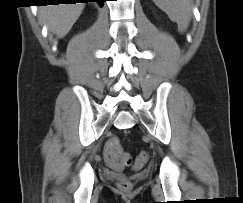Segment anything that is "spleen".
Segmentation results:
<instances>
[{
  "instance_id": "spleen-1",
  "label": "spleen",
  "mask_w": 243,
  "mask_h": 203,
  "mask_svg": "<svg viewBox=\"0 0 243 203\" xmlns=\"http://www.w3.org/2000/svg\"><path fill=\"white\" fill-rule=\"evenodd\" d=\"M171 21L176 22L180 31L186 29L192 12V0H153Z\"/></svg>"
}]
</instances>
